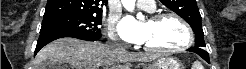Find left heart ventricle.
Wrapping results in <instances>:
<instances>
[{
	"label": "left heart ventricle",
	"mask_w": 246,
	"mask_h": 69,
	"mask_svg": "<svg viewBox=\"0 0 246 69\" xmlns=\"http://www.w3.org/2000/svg\"><path fill=\"white\" fill-rule=\"evenodd\" d=\"M144 44L151 47L168 49L181 45L186 39L183 27L174 19L147 21L145 24Z\"/></svg>",
	"instance_id": "obj_1"
}]
</instances>
